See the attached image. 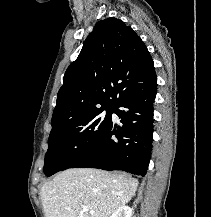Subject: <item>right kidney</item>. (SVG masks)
Instances as JSON below:
<instances>
[{
  "label": "right kidney",
  "instance_id": "obj_1",
  "mask_svg": "<svg viewBox=\"0 0 211 217\" xmlns=\"http://www.w3.org/2000/svg\"><path fill=\"white\" fill-rule=\"evenodd\" d=\"M133 210L129 206H122L117 209L110 217H132Z\"/></svg>",
  "mask_w": 211,
  "mask_h": 217
}]
</instances>
